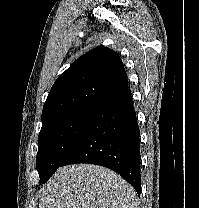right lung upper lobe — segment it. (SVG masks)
I'll use <instances>...</instances> for the list:
<instances>
[{
    "mask_svg": "<svg viewBox=\"0 0 199 208\" xmlns=\"http://www.w3.org/2000/svg\"><path fill=\"white\" fill-rule=\"evenodd\" d=\"M126 90L121 58L107 47H98L77 59L55 81L43 106L42 121L72 108L101 107Z\"/></svg>",
    "mask_w": 199,
    "mask_h": 208,
    "instance_id": "obj_1",
    "label": "right lung upper lobe"
}]
</instances>
